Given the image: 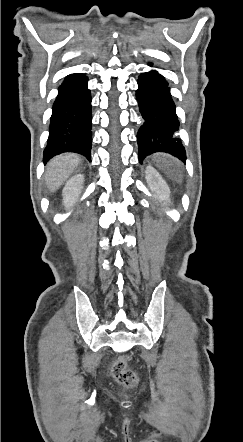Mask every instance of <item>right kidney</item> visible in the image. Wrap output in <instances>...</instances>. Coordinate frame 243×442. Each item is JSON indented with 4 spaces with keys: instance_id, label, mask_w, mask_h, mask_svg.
<instances>
[{
    "instance_id": "1",
    "label": "right kidney",
    "mask_w": 243,
    "mask_h": 442,
    "mask_svg": "<svg viewBox=\"0 0 243 442\" xmlns=\"http://www.w3.org/2000/svg\"><path fill=\"white\" fill-rule=\"evenodd\" d=\"M84 183V176L77 174L71 177L63 188V203L66 208L71 207L79 198Z\"/></svg>"
}]
</instances>
